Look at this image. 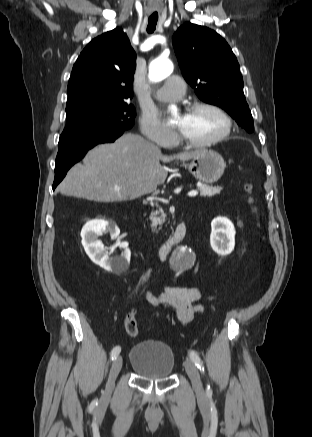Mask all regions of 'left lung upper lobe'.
<instances>
[{
  "mask_svg": "<svg viewBox=\"0 0 312 437\" xmlns=\"http://www.w3.org/2000/svg\"><path fill=\"white\" fill-rule=\"evenodd\" d=\"M185 80L204 102L219 106L248 132L253 118L243 93V78L228 43L214 30L185 23L173 35Z\"/></svg>",
  "mask_w": 312,
  "mask_h": 437,
  "instance_id": "obj_1",
  "label": "left lung upper lobe"
}]
</instances>
